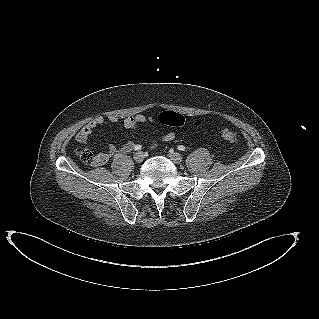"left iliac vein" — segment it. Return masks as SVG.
Wrapping results in <instances>:
<instances>
[{
	"mask_svg": "<svg viewBox=\"0 0 319 319\" xmlns=\"http://www.w3.org/2000/svg\"><path fill=\"white\" fill-rule=\"evenodd\" d=\"M168 157L171 161H173L176 164L181 163L183 159L182 155L178 152L169 153Z\"/></svg>",
	"mask_w": 319,
	"mask_h": 319,
	"instance_id": "obj_1",
	"label": "left iliac vein"
}]
</instances>
